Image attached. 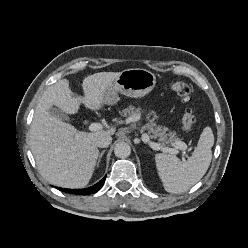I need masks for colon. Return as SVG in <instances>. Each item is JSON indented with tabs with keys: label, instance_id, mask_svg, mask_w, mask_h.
Returning <instances> with one entry per match:
<instances>
[{
	"label": "colon",
	"instance_id": "obj_1",
	"mask_svg": "<svg viewBox=\"0 0 248 248\" xmlns=\"http://www.w3.org/2000/svg\"><path fill=\"white\" fill-rule=\"evenodd\" d=\"M171 90L180 96L183 101L191 102L192 101V91L188 84L181 81H175L170 84ZM196 121L195 111L191 107H187L184 111L182 117V127L185 131H190L193 128V125Z\"/></svg>",
	"mask_w": 248,
	"mask_h": 248
}]
</instances>
